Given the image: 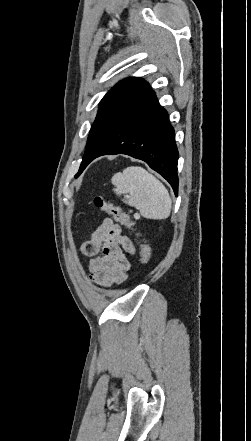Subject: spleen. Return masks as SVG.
<instances>
[{
	"instance_id": "1",
	"label": "spleen",
	"mask_w": 251,
	"mask_h": 441,
	"mask_svg": "<svg viewBox=\"0 0 251 441\" xmlns=\"http://www.w3.org/2000/svg\"><path fill=\"white\" fill-rule=\"evenodd\" d=\"M113 191L124 195L123 202L140 211L147 219L169 217L172 201L166 187L151 173L139 166H129L113 175Z\"/></svg>"
}]
</instances>
